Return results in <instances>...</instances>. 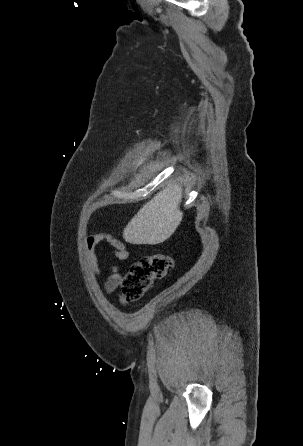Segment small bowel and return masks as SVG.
I'll return each instance as SVG.
<instances>
[{
    "label": "small bowel",
    "instance_id": "obj_1",
    "mask_svg": "<svg viewBox=\"0 0 303 446\" xmlns=\"http://www.w3.org/2000/svg\"><path fill=\"white\" fill-rule=\"evenodd\" d=\"M101 241H106L109 243L112 248V253L117 259L126 260L129 256L128 250L124 243L108 233H98L88 236L85 242V249L90 272L95 278L98 277L100 273L96 256V246ZM110 271L111 273L107 277L104 284L105 291L109 294L122 288L125 276L124 273H122L115 265H110ZM120 298H124L123 294H120Z\"/></svg>",
    "mask_w": 303,
    "mask_h": 446
}]
</instances>
